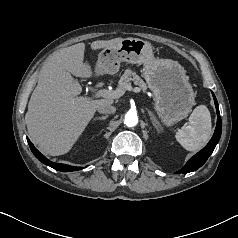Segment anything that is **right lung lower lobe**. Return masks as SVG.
<instances>
[{"label":"right lung lower lobe","mask_w":238,"mask_h":238,"mask_svg":"<svg viewBox=\"0 0 238 238\" xmlns=\"http://www.w3.org/2000/svg\"><path fill=\"white\" fill-rule=\"evenodd\" d=\"M28 143L30 146L31 151L33 152V154L35 155V157L41 161L42 163L52 167L55 170L58 171H64V172H70V171H76V170H81V167H74V166H69V165H65V164H61V163H54L51 162L50 160H48L45 156H43L35 147L34 145L30 142V140L28 139Z\"/></svg>","instance_id":"obj_1"}]
</instances>
